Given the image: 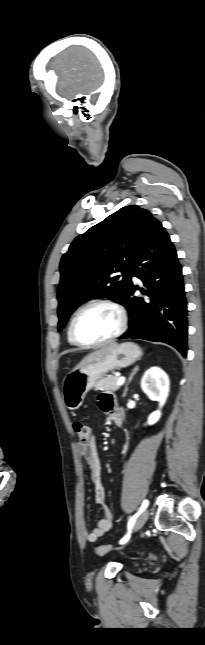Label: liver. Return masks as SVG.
<instances>
[{"mask_svg":"<svg viewBox=\"0 0 205 645\" xmlns=\"http://www.w3.org/2000/svg\"><path fill=\"white\" fill-rule=\"evenodd\" d=\"M116 346H117V344H116V343H111V344H109V345H107V346H104V347L100 348L99 350H96V351H94V352L90 353L88 356H86V357H85V358H84V359H83V360H82V361H81V362H80V363H79V364L74 368V370H76V369H80V368H82V367L86 366L87 364H89V363H91V362H93V361L97 360L98 358H101V357H103V356L107 355V354H108V353H110V352H111V351H112Z\"/></svg>","mask_w":205,"mask_h":645,"instance_id":"obj_1","label":"liver"}]
</instances>
